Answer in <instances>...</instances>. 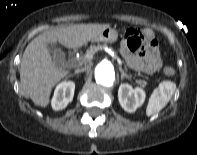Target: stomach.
<instances>
[{
    "label": "stomach",
    "mask_w": 197,
    "mask_h": 155,
    "mask_svg": "<svg viewBox=\"0 0 197 155\" xmlns=\"http://www.w3.org/2000/svg\"><path fill=\"white\" fill-rule=\"evenodd\" d=\"M118 39V32L113 28H106L102 30L92 41L94 42H108L113 43Z\"/></svg>",
    "instance_id": "0dacf381"
}]
</instances>
